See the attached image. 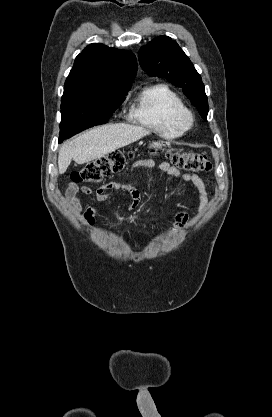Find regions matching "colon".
I'll list each match as a JSON object with an SVG mask.
<instances>
[{
  "label": "colon",
  "mask_w": 272,
  "mask_h": 417,
  "mask_svg": "<svg viewBox=\"0 0 272 417\" xmlns=\"http://www.w3.org/2000/svg\"><path fill=\"white\" fill-rule=\"evenodd\" d=\"M134 152L115 151L87 163L79 170L72 172L71 180L75 183L99 182L104 177L123 168L128 158L133 157ZM171 162L178 168L189 172H206L212 166L204 154L171 151L168 153Z\"/></svg>",
  "instance_id": "1"
}]
</instances>
